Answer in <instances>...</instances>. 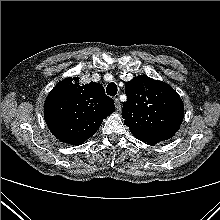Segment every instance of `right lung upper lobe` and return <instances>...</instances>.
<instances>
[{
	"mask_svg": "<svg viewBox=\"0 0 220 220\" xmlns=\"http://www.w3.org/2000/svg\"><path fill=\"white\" fill-rule=\"evenodd\" d=\"M115 111L114 101L101 84H79L78 77L59 82L48 94L44 118L62 142L79 145L93 136L103 119Z\"/></svg>",
	"mask_w": 220,
	"mask_h": 220,
	"instance_id": "right-lung-upper-lobe-1",
	"label": "right lung upper lobe"
}]
</instances>
